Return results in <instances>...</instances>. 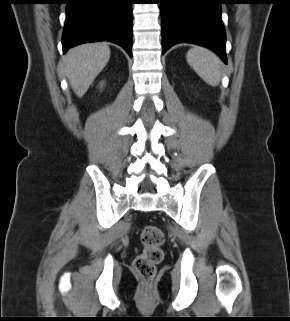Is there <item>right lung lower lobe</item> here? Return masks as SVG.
Wrapping results in <instances>:
<instances>
[{
	"label": "right lung lower lobe",
	"mask_w": 290,
	"mask_h": 321,
	"mask_svg": "<svg viewBox=\"0 0 290 321\" xmlns=\"http://www.w3.org/2000/svg\"><path fill=\"white\" fill-rule=\"evenodd\" d=\"M63 52L87 42L110 41L132 57L131 0H67Z\"/></svg>",
	"instance_id": "right-lung-lower-lobe-1"
}]
</instances>
